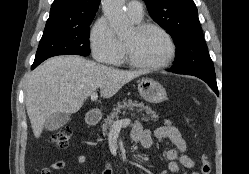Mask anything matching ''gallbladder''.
Listing matches in <instances>:
<instances>
[{"instance_id":"obj_1","label":"gallbladder","mask_w":249,"mask_h":174,"mask_svg":"<svg viewBox=\"0 0 249 174\" xmlns=\"http://www.w3.org/2000/svg\"><path fill=\"white\" fill-rule=\"evenodd\" d=\"M69 120L70 114L68 113H54L46 119L44 128L48 131H55L67 124Z\"/></svg>"}]
</instances>
